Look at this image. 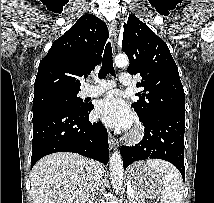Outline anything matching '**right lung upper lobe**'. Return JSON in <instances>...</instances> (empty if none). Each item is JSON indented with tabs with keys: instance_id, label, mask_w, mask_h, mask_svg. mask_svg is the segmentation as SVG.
Masks as SVG:
<instances>
[{
	"instance_id": "right-lung-upper-lobe-1",
	"label": "right lung upper lobe",
	"mask_w": 214,
	"mask_h": 203,
	"mask_svg": "<svg viewBox=\"0 0 214 203\" xmlns=\"http://www.w3.org/2000/svg\"><path fill=\"white\" fill-rule=\"evenodd\" d=\"M108 38L106 24L92 14L81 16L53 42L40 61L34 83V99L55 93H78L80 78L101 63Z\"/></svg>"
}]
</instances>
